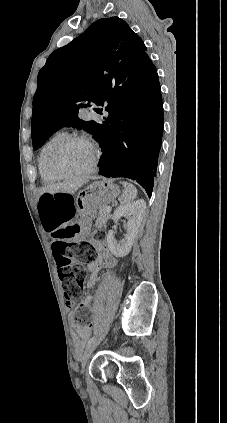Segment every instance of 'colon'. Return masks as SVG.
<instances>
[{
  "instance_id": "1",
  "label": "colon",
  "mask_w": 227,
  "mask_h": 423,
  "mask_svg": "<svg viewBox=\"0 0 227 423\" xmlns=\"http://www.w3.org/2000/svg\"><path fill=\"white\" fill-rule=\"evenodd\" d=\"M74 205L71 197L65 193H44L39 201V212L46 230H58L57 239L53 243V256L57 264L60 279L63 284L64 297L67 301H75L82 295L87 273L83 263L95 259L94 251L87 241L70 242L75 234L71 224L74 216ZM101 236L102 233L98 232ZM73 258L80 263L75 264ZM92 309L88 300L81 302L75 312L74 320L82 326H91Z\"/></svg>"
}]
</instances>
